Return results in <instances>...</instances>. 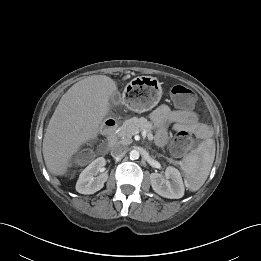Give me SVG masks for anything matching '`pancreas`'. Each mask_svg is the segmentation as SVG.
<instances>
[{
	"label": "pancreas",
	"instance_id": "obj_1",
	"mask_svg": "<svg viewBox=\"0 0 261 261\" xmlns=\"http://www.w3.org/2000/svg\"><path fill=\"white\" fill-rule=\"evenodd\" d=\"M154 129L153 123L146 118L133 117L126 120L120 127L117 133L118 143L128 145L132 143V136L138 131H146L147 134H152Z\"/></svg>",
	"mask_w": 261,
	"mask_h": 261
}]
</instances>
